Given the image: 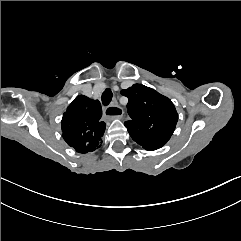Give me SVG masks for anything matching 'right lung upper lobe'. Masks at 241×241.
Returning a JSON list of instances; mask_svg holds the SVG:
<instances>
[{
	"label": "right lung upper lobe",
	"instance_id": "cb5924a9",
	"mask_svg": "<svg viewBox=\"0 0 241 241\" xmlns=\"http://www.w3.org/2000/svg\"><path fill=\"white\" fill-rule=\"evenodd\" d=\"M98 100L77 96L64 112L61 125L63 138L79 153H88L100 147L106 124L102 122Z\"/></svg>",
	"mask_w": 241,
	"mask_h": 241
}]
</instances>
